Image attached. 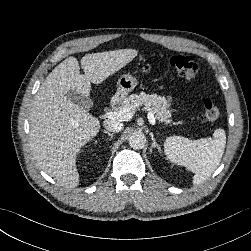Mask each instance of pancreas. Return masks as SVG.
Masks as SVG:
<instances>
[{"mask_svg":"<svg viewBox=\"0 0 251 251\" xmlns=\"http://www.w3.org/2000/svg\"><path fill=\"white\" fill-rule=\"evenodd\" d=\"M144 108L155 114L156 119L165 124L171 123V110L166 99L157 94H132L123 99L120 108H130L135 112L139 107Z\"/></svg>","mask_w":251,"mask_h":251,"instance_id":"pancreas-1","label":"pancreas"}]
</instances>
